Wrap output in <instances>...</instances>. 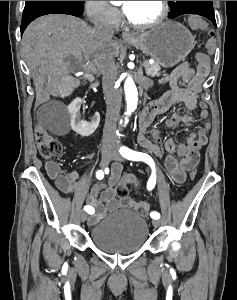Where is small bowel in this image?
I'll list each match as a JSON object with an SVG mask.
<instances>
[{"label": "small bowel", "mask_w": 237, "mask_h": 300, "mask_svg": "<svg viewBox=\"0 0 237 300\" xmlns=\"http://www.w3.org/2000/svg\"><path fill=\"white\" fill-rule=\"evenodd\" d=\"M209 66L198 64L195 70L188 63L177 66L169 75L164 76L161 81L169 82L172 90L166 92L159 99L150 102L141 112L139 117L138 142L145 149L151 151L158 157L162 156L161 149L145 136L155 118L174 108L178 104L184 106L183 111H173L170 117L152 130V137L156 142L164 144L166 152L165 169L175 184H181L186 179V171L193 169L200 157V150L207 143V133L210 123L206 122L198 133L188 135L186 142L182 143L173 138H166L162 134L163 128H171L179 124H189L194 121L191 112L198 105V96L208 77ZM186 83L182 86L181 83ZM201 120L209 117L208 106L205 102L199 104ZM48 176L54 181L57 188L64 194L83 195L87 203L94 209L89 217V224L93 225L103 218L108 212H114L121 207H132L145 213L149 209L147 202H138L132 199L120 201L115 195V187L118 184L123 167L115 164L111 175L106 183H98L91 187L86 193L88 182L83 180L77 171H65L56 162L50 161L46 164Z\"/></svg>", "instance_id": "1"}]
</instances>
